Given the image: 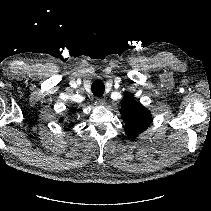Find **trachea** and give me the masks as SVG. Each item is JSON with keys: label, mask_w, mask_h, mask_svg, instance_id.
<instances>
[{"label": "trachea", "mask_w": 211, "mask_h": 211, "mask_svg": "<svg viewBox=\"0 0 211 211\" xmlns=\"http://www.w3.org/2000/svg\"><path fill=\"white\" fill-rule=\"evenodd\" d=\"M91 90L93 95L98 96V97H102L105 91V85L102 82V80H96L93 82L92 86H91Z\"/></svg>", "instance_id": "trachea-1"}]
</instances>
